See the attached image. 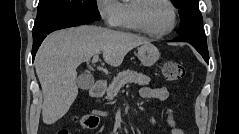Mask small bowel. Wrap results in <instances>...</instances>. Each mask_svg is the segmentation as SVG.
<instances>
[{"label":"small bowel","instance_id":"1","mask_svg":"<svg viewBox=\"0 0 239 134\" xmlns=\"http://www.w3.org/2000/svg\"><path fill=\"white\" fill-rule=\"evenodd\" d=\"M140 96L143 99H157L165 101L169 98V90L166 87H143L140 90ZM93 115L106 116L107 113L100 110L92 111ZM172 134H183V131L179 128H173Z\"/></svg>","mask_w":239,"mask_h":134}]
</instances>
